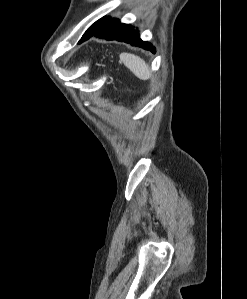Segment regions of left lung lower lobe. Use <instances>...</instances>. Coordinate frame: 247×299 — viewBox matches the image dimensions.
Masks as SVG:
<instances>
[{
	"label": "left lung lower lobe",
	"mask_w": 247,
	"mask_h": 299,
	"mask_svg": "<svg viewBox=\"0 0 247 299\" xmlns=\"http://www.w3.org/2000/svg\"><path fill=\"white\" fill-rule=\"evenodd\" d=\"M96 36L107 40H118L130 43L133 46L142 47L143 49L155 52L154 47L146 41L139 38L138 32L131 25L120 23L118 19L108 18L97 28L84 35L79 43Z\"/></svg>",
	"instance_id": "left-lung-lower-lobe-1"
}]
</instances>
